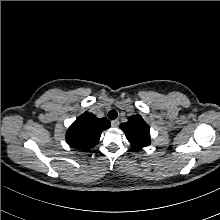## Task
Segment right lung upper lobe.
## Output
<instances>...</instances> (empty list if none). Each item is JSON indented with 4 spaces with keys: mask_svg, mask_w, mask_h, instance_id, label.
I'll return each instance as SVG.
<instances>
[{
    "mask_svg": "<svg viewBox=\"0 0 220 220\" xmlns=\"http://www.w3.org/2000/svg\"><path fill=\"white\" fill-rule=\"evenodd\" d=\"M109 127L108 119H99L94 114L85 112L69 127L66 141L75 149L87 151L98 143L101 133Z\"/></svg>",
    "mask_w": 220,
    "mask_h": 220,
    "instance_id": "1",
    "label": "right lung upper lobe"
}]
</instances>
